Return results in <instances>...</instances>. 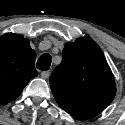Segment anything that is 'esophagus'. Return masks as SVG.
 Instances as JSON below:
<instances>
[{"mask_svg": "<svg viewBox=\"0 0 125 125\" xmlns=\"http://www.w3.org/2000/svg\"><path fill=\"white\" fill-rule=\"evenodd\" d=\"M49 76H50V71H43V72H41V77L43 79H48Z\"/></svg>", "mask_w": 125, "mask_h": 125, "instance_id": "obj_1", "label": "esophagus"}]
</instances>
